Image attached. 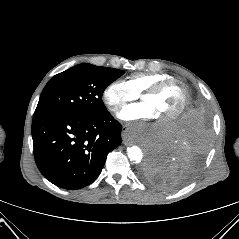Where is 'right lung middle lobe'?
Masks as SVG:
<instances>
[{"instance_id": "1", "label": "right lung middle lobe", "mask_w": 239, "mask_h": 239, "mask_svg": "<svg viewBox=\"0 0 239 239\" xmlns=\"http://www.w3.org/2000/svg\"><path fill=\"white\" fill-rule=\"evenodd\" d=\"M123 74L118 69L87 63L69 68L52 77L46 84L34 115H101L107 112L102 101L105 88Z\"/></svg>"}]
</instances>
